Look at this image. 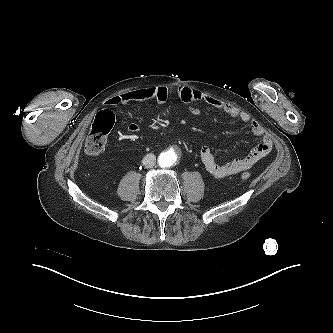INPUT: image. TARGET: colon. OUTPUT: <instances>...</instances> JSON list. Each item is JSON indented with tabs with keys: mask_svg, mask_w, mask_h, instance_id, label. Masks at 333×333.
<instances>
[{
	"mask_svg": "<svg viewBox=\"0 0 333 333\" xmlns=\"http://www.w3.org/2000/svg\"><path fill=\"white\" fill-rule=\"evenodd\" d=\"M115 117L112 111L103 110L97 114L93 121L85 143V152L88 156H99L105 149L108 134L114 125ZM251 177L249 172L241 174L243 180Z\"/></svg>",
	"mask_w": 333,
	"mask_h": 333,
	"instance_id": "obj_1",
	"label": "colon"
}]
</instances>
